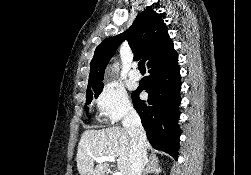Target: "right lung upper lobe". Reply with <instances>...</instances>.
<instances>
[{"label":"right lung upper lobe","mask_w":251,"mask_h":175,"mask_svg":"<svg viewBox=\"0 0 251 175\" xmlns=\"http://www.w3.org/2000/svg\"><path fill=\"white\" fill-rule=\"evenodd\" d=\"M163 14L146 9L138 14L132 26L124 33L105 39L94 52L90 64L88 88L103 86L105 67L118 46L128 40L134 59L144 58L147 67L158 66L177 56Z\"/></svg>","instance_id":"obj_1"}]
</instances>
